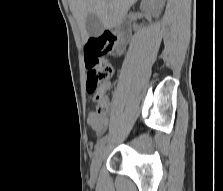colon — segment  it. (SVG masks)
Listing matches in <instances>:
<instances>
[{"mask_svg": "<svg viewBox=\"0 0 223 191\" xmlns=\"http://www.w3.org/2000/svg\"><path fill=\"white\" fill-rule=\"evenodd\" d=\"M119 43L116 35L105 34L90 38L84 49L85 66L88 69L87 92L94 95L98 102L97 115L104 116L109 107L108 100L103 96L100 86L112 75V67L103 57L113 51Z\"/></svg>", "mask_w": 223, "mask_h": 191, "instance_id": "colon-1", "label": "colon"}]
</instances>
